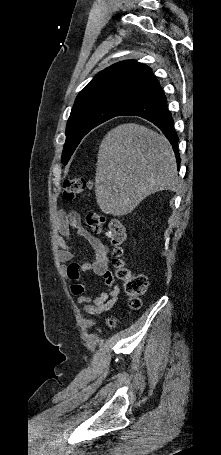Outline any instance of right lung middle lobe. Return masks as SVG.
Returning <instances> with one entry per match:
<instances>
[{"instance_id": "dd1d6c3e", "label": "right lung middle lobe", "mask_w": 221, "mask_h": 455, "mask_svg": "<svg viewBox=\"0 0 221 455\" xmlns=\"http://www.w3.org/2000/svg\"><path fill=\"white\" fill-rule=\"evenodd\" d=\"M124 109L111 103H93L72 109L66 127L62 162L66 164L81 139L94 127L119 116Z\"/></svg>"}]
</instances>
